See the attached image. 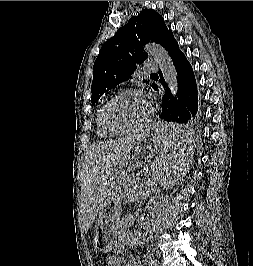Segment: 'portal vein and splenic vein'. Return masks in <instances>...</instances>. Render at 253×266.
Masks as SVG:
<instances>
[{
    "label": "portal vein and splenic vein",
    "mask_w": 253,
    "mask_h": 266,
    "mask_svg": "<svg viewBox=\"0 0 253 266\" xmlns=\"http://www.w3.org/2000/svg\"><path fill=\"white\" fill-rule=\"evenodd\" d=\"M140 193H149V184H147V187H145V190L143 189V192Z\"/></svg>",
    "instance_id": "1"
}]
</instances>
